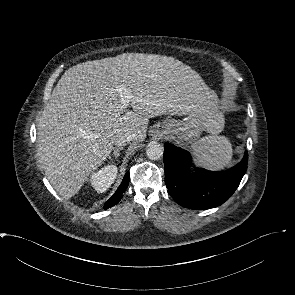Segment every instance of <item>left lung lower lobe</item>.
Here are the masks:
<instances>
[{
	"mask_svg": "<svg viewBox=\"0 0 295 295\" xmlns=\"http://www.w3.org/2000/svg\"><path fill=\"white\" fill-rule=\"evenodd\" d=\"M165 184L172 198L181 206L190 209H209L223 204L231 197L244 176L248 154L233 168L212 172L196 168L191 173L190 154L172 144L164 145Z\"/></svg>",
	"mask_w": 295,
	"mask_h": 295,
	"instance_id": "0a47b994",
	"label": "left lung lower lobe"
}]
</instances>
